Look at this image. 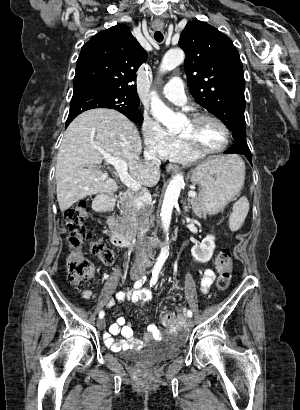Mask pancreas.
<instances>
[{
	"mask_svg": "<svg viewBox=\"0 0 300 410\" xmlns=\"http://www.w3.org/2000/svg\"><path fill=\"white\" fill-rule=\"evenodd\" d=\"M193 212L198 217L206 218L204 208L200 205L199 200L193 198L190 200ZM121 217H118L116 231L129 236L130 229L134 228L137 223V212L133 206V195H129L120 200Z\"/></svg>",
	"mask_w": 300,
	"mask_h": 410,
	"instance_id": "obj_1",
	"label": "pancreas"
}]
</instances>
